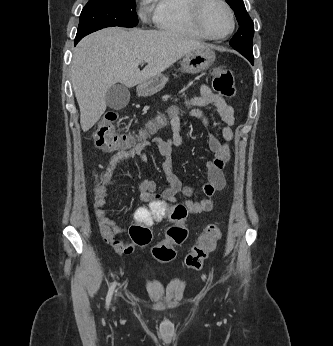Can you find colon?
<instances>
[{"instance_id":"5ec220e1","label":"colon","mask_w":333,"mask_h":346,"mask_svg":"<svg viewBox=\"0 0 333 346\" xmlns=\"http://www.w3.org/2000/svg\"><path fill=\"white\" fill-rule=\"evenodd\" d=\"M213 87L222 97L231 98L235 95V80L232 72L227 68H217L214 74ZM175 114V112L173 113ZM118 115L108 112L99 122L94 133L93 140L99 149L108 152H123L136 146L142 135L118 133L115 130V122ZM165 123L163 118L154 120L148 127L147 132L161 128ZM95 191H102V181L95 186ZM168 213L174 223L166 232V239L152 247L153 257L162 263H167L175 258V247L182 245L187 238V229L182 221L187 216V211L182 205L173 206L168 210L164 201H154L150 208H140L136 212V223L130 226L129 235L135 237L137 246H146L152 239L151 225L161 220ZM221 237V229L217 224L209 225L198 238L191 252L186 257L188 267L198 270L216 248Z\"/></svg>"}]
</instances>
